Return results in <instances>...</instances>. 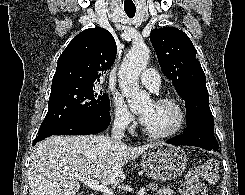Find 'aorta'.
Listing matches in <instances>:
<instances>
[{
    "label": "aorta",
    "mask_w": 245,
    "mask_h": 195,
    "mask_svg": "<svg viewBox=\"0 0 245 195\" xmlns=\"http://www.w3.org/2000/svg\"><path fill=\"white\" fill-rule=\"evenodd\" d=\"M150 58L146 45H135L125 56L118 73L119 87L131 111H139L150 102V96L139 88L138 79Z\"/></svg>",
    "instance_id": "aorta-1"
}]
</instances>
